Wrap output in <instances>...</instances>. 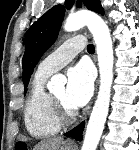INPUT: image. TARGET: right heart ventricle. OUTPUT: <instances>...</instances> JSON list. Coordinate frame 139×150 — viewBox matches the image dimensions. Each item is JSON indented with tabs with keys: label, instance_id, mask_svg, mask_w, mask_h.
<instances>
[{
	"label": "right heart ventricle",
	"instance_id": "e07e8e85",
	"mask_svg": "<svg viewBox=\"0 0 139 150\" xmlns=\"http://www.w3.org/2000/svg\"><path fill=\"white\" fill-rule=\"evenodd\" d=\"M48 76L35 75L24 108V123L34 137H46L60 129L50 111L45 82Z\"/></svg>",
	"mask_w": 139,
	"mask_h": 150
}]
</instances>
